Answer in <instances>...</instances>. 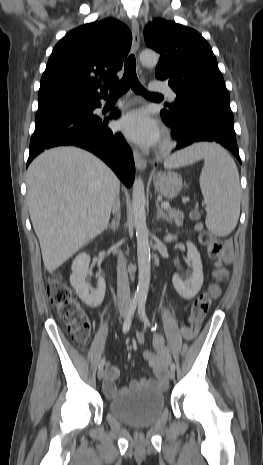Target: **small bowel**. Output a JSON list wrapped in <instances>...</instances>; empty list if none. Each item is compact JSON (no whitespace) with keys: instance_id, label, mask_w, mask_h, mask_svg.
Returning a JSON list of instances; mask_svg holds the SVG:
<instances>
[{"instance_id":"1","label":"small bowel","mask_w":263,"mask_h":465,"mask_svg":"<svg viewBox=\"0 0 263 465\" xmlns=\"http://www.w3.org/2000/svg\"><path fill=\"white\" fill-rule=\"evenodd\" d=\"M230 257L229 252L226 251L223 255L225 260H228ZM225 274V271H216L214 275ZM214 296H218L219 292L217 290L211 291ZM205 322H199L198 330H200L201 334L205 333L204 330ZM185 328V327H184ZM197 332V331H196ZM182 334L186 338H191L195 334V331L190 329H182ZM136 339L139 343L144 342V335L142 333H138L136 335ZM153 347L154 350H146L143 352V358L148 362L150 367L153 369L155 378L154 379H141L138 381H132L130 386L137 387L143 386L152 389H163L167 386V377H166V368L167 364L170 359V354L168 349L166 348L165 341L163 337L159 334L154 335L153 337ZM120 375V369L115 366H107L106 369V376L103 384L104 392L109 397H114L117 394H121L126 392L127 388H121L120 390L117 389L115 385L116 379Z\"/></svg>"}]
</instances>
